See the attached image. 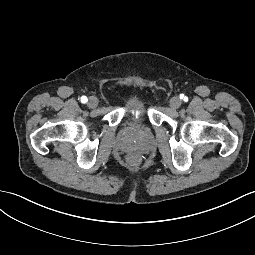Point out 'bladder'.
Returning <instances> with one entry per match:
<instances>
[{
	"label": "bladder",
	"instance_id": "bladder-1",
	"mask_svg": "<svg viewBox=\"0 0 255 255\" xmlns=\"http://www.w3.org/2000/svg\"><path fill=\"white\" fill-rule=\"evenodd\" d=\"M143 101L139 97H133L128 103V112H137L142 110Z\"/></svg>",
	"mask_w": 255,
	"mask_h": 255
}]
</instances>
